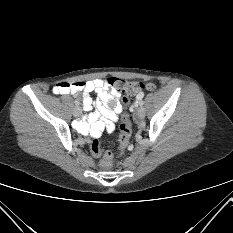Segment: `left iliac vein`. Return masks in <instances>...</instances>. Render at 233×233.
Wrapping results in <instances>:
<instances>
[{
  "label": "left iliac vein",
  "mask_w": 233,
  "mask_h": 233,
  "mask_svg": "<svg viewBox=\"0 0 233 233\" xmlns=\"http://www.w3.org/2000/svg\"><path fill=\"white\" fill-rule=\"evenodd\" d=\"M137 116L139 118H144L145 117V109L144 107L140 106L138 109H137Z\"/></svg>",
  "instance_id": "4c4485c4"
}]
</instances>
